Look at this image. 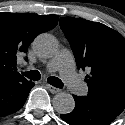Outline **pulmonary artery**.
<instances>
[{
    "mask_svg": "<svg viewBox=\"0 0 125 125\" xmlns=\"http://www.w3.org/2000/svg\"><path fill=\"white\" fill-rule=\"evenodd\" d=\"M49 72L59 71L68 88L74 93H84L86 86L79 80L74 72V59L72 53L62 49L47 65Z\"/></svg>",
    "mask_w": 125,
    "mask_h": 125,
    "instance_id": "pulmonary-artery-1",
    "label": "pulmonary artery"
}]
</instances>
